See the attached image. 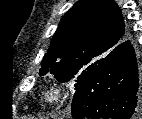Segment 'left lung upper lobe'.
<instances>
[{"instance_id":"5c2ea615","label":"left lung upper lobe","mask_w":142,"mask_h":119,"mask_svg":"<svg viewBox=\"0 0 142 119\" xmlns=\"http://www.w3.org/2000/svg\"><path fill=\"white\" fill-rule=\"evenodd\" d=\"M128 34L113 0H80L61 19L39 74H53L59 82L75 79L77 89Z\"/></svg>"}]
</instances>
